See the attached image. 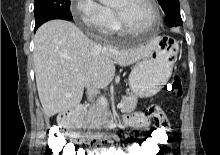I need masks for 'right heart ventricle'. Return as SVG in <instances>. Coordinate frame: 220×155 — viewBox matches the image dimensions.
<instances>
[{"instance_id": "obj_1", "label": "right heart ventricle", "mask_w": 220, "mask_h": 155, "mask_svg": "<svg viewBox=\"0 0 220 155\" xmlns=\"http://www.w3.org/2000/svg\"><path fill=\"white\" fill-rule=\"evenodd\" d=\"M111 32L118 33V34L123 33V30H122L118 20L116 19V17H115L114 22L112 24Z\"/></svg>"}]
</instances>
